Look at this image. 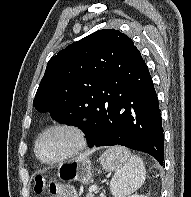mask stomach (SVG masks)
Wrapping results in <instances>:
<instances>
[{"label":"stomach","instance_id":"0dacf381","mask_svg":"<svg viewBox=\"0 0 191 197\" xmlns=\"http://www.w3.org/2000/svg\"><path fill=\"white\" fill-rule=\"evenodd\" d=\"M104 169L112 170L119 166V163L110 158L106 151L100 158ZM91 161L88 157H78L66 164H63L58 169V177L62 181H79L83 184L90 182Z\"/></svg>","mask_w":191,"mask_h":197}]
</instances>
